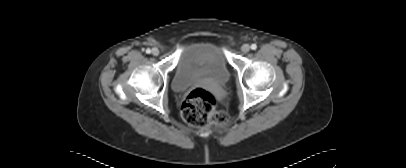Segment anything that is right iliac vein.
<instances>
[{"instance_id": "obj_1", "label": "right iliac vein", "mask_w": 406, "mask_h": 168, "mask_svg": "<svg viewBox=\"0 0 406 168\" xmlns=\"http://www.w3.org/2000/svg\"><path fill=\"white\" fill-rule=\"evenodd\" d=\"M151 53H152L154 56H158L159 53H160V51H159L158 48L154 47V48L151 50Z\"/></svg>"}]
</instances>
